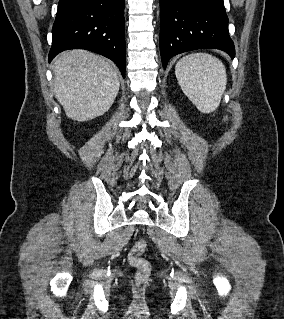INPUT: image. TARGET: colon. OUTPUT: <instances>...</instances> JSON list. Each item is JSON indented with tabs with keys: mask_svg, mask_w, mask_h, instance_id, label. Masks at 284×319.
I'll use <instances>...</instances> for the list:
<instances>
[{
	"mask_svg": "<svg viewBox=\"0 0 284 319\" xmlns=\"http://www.w3.org/2000/svg\"><path fill=\"white\" fill-rule=\"evenodd\" d=\"M146 247L147 242L145 240H139L129 252V262L137 269L136 279L139 283L144 282L150 273V264L143 257Z\"/></svg>",
	"mask_w": 284,
	"mask_h": 319,
	"instance_id": "obj_1",
	"label": "colon"
}]
</instances>
